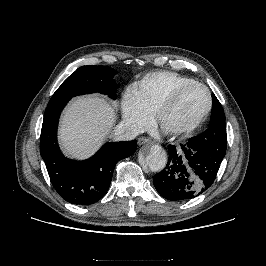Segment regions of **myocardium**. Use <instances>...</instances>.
Returning <instances> with one entry per match:
<instances>
[{
	"mask_svg": "<svg viewBox=\"0 0 266 266\" xmlns=\"http://www.w3.org/2000/svg\"><path fill=\"white\" fill-rule=\"evenodd\" d=\"M190 87H199L203 89L207 95V106L205 110L195 120L181 126L166 128L162 125V117L164 113L174 104L178 96ZM213 105L212 95L210 90L203 84L193 81L179 85L172 89L159 103L154 112L155 123L168 134H183L196 129L209 115Z\"/></svg>",
	"mask_w": 266,
	"mask_h": 266,
	"instance_id": "1",
	"label": "myocardium"
}]
</instances>
